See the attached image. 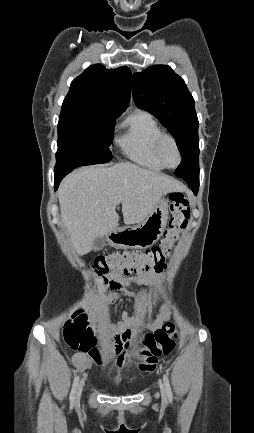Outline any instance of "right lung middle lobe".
Here are the masks:
<instances>
[{"instance_id": "obj_1", "label": "right lung middle lobe", "mask_w": 254, "mask_h": 433, "mask_svg": "<svg viewBox=\"0 0 254 433\" xmlns=\"http://www.w3.org/2000/svg\"><path fill=\"white\" fill-rule=\"evenodd\" d=\"M115 120L114 114L98 107H62L56 160L69 159L81 165L109 162Z\"/></svg>"}]
</instances>
